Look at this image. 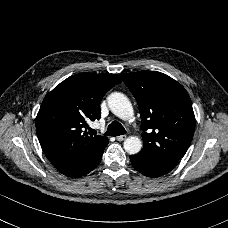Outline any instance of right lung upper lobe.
Instances as JSON below:
<instances>
[{
	"instance_id": "obj_1",
	"label": "right lung upper lobe",
	"mask_w": 228,
	"mask_h": 228,
	"mask_svg": "<svg viewBox=\"0 0 228 228\" xmlns=\"http://www.w3.org/2000/svg\"><path fill=\"white\" fill-rule=\"evenodd\" d=\"M114 74L73 75L44 98L36 117V133L51 163L74 159L105 136H91L82 128L86 120L100 119V102L113 86L121 83Z\"/></svg>"
}]
</instances>
